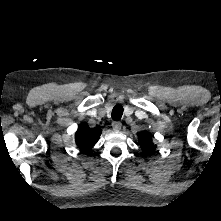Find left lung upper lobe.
Listing matches in <instances>:
<instances>
[{
  "label": "left lung upper lobe",
  "instance_id": "obj_1",
  "mask_svg": "<svg viewBox=\"0 0 221 221\" xmlns=\"http://www.w3.org/2000/svg\"><path fill=\"white\" fill-rule=\"evenodd\" d=\"M138 140H139L142 150L146 154H150L155 150L156 145H154L152 143V139H151L150 135H148V134L140 135L138 137Z\"/></svg>",
  "mask_w": 221,
  "mask_h": 221
}]
</instances>
